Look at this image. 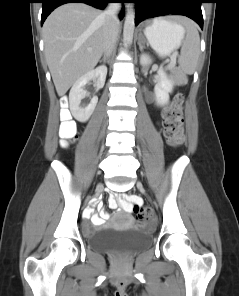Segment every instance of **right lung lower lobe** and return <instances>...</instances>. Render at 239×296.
Here are the masks:
<instances>
[{"instance_id":"1","label":"right lung lower lobe","mask_w":239,"mask_h":296,"mask_svg":"<svg viewBox=\"0 0 239 296\" xmlns=\"http://www.w3.org/2000/svg\"><path fill=\"white\" fill-rule=\"evenodd\" d=\"M120 2L124 3L123 0H40L42 3V15H41V25H43L47 16L58 6L65 4V3H86L93 7L103 9L106 7L108 3L111 2ZM120 18L122 19L124 16V6L122 7V11L119 14Z\"/></svg>"}]
</instances>
